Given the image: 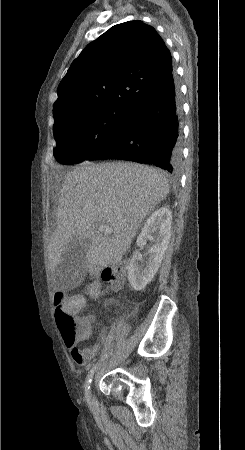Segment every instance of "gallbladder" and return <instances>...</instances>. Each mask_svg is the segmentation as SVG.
I'll list each match as a JSON object with an SVG mask.
<instances>
[{"label":"gallbladder","mask_w":245,"mask_h":450,"mask_svg":"<svg viewBox=\"0 0 245 450\" xmlns=\"http://www.w3.org/2000/svg\"><path fill=\"white\" fill-rule=\"evenodd\" d=\"M91 242L88 239L75 238L63 252L55 269L56 276L63 280L67 287L79 283L86 273V255Z\"/></svg>","instance_id":"gallbladder-1"}]
</instances>
